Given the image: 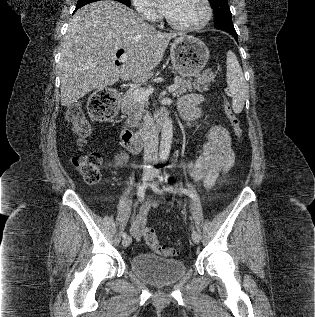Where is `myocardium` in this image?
I'll return each mask as SVG.
<instances>
[{
    "mask_svg": "<svg viewBox=\"0 0 315 317\" xmlns=\"http://www.w3.org/2000/svg\"><path fill=\"white\" fill-rule=\"evenodd\" d=\"M202 3H203L204 8H205V16L202 19V21H200L199 23L193 24V25H181V24H178V23L174 22L166 14L165 15V20H166L167 24L170 27H172V28H174L176 30H180V31H197V30H200V29L204 28L205 26H207V24L211 20L212 7H211V4H210L209 0H202Z\"/></svg>",
    "mask_w": 315,
    "mask_h": 317,
    "instance_id": "1",
    "label": "myocardium"
}]
</instances>
